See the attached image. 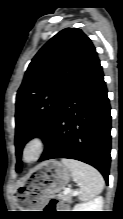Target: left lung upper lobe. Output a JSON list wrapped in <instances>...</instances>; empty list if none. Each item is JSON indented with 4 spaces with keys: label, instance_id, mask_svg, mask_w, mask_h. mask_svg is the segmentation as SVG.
Returning <instances> with one entry per match:
<instances>
[{
    "label": "left lung upper lobe",
    "instance_id": "1",
    "mask_svg": "<svg viewBox=\"0 0 123 219\" xmlns=\"http://www.w3.org/2000/svg\"><path fill=\"white\" fill-rule=\"evenodd\" d=\"M96 58L91 40L78 28H66L51 38L32 59L16 96L18 172L24 145L36 136L46 141L65 98Z\"/></svg>",
    "mask_w": 123,
    "mask_h": 219
}]
</instances>
